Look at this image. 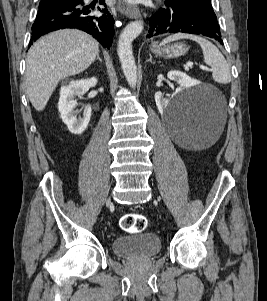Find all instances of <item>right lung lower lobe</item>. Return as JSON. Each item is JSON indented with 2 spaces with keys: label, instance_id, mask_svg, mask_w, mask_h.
Returning a JSON list of instances; mask_svg holds the SVG:
<instances>
[{
  "label": "right lung lower lobe",
  "instance_id": "98d812e1",
  "mask_svg": "<svg viewBox=\"0 0 267 301\" xmlns=\"http://www.w3.org/2000/svg\"><path fill=\"white\" fill-rule=\"evenodd\" d=\"M100 4L106 6L104 0ZM84 6L83 0H66L51 8L39 11L32 26V42L40 36L64 28H77L91 34L104 47L111 46L114 36L113 16L107 9Z\"/></svg>",
  "mask_w": 267,
  "mask_h": 301
}]
</instances>
